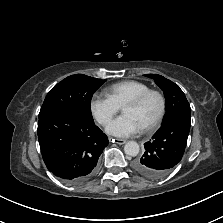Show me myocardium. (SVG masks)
Here are the masks:
<instances>
[{
    "label": "myocardium",
    "mask_w": 223,
    "mask_h": 223,
    "mask_svg": "<svg viewBox=\"0 0 223 223\" xmlns=\"http://www.w3.org/2000/svg\"><path fill=\"white\" fill-rule=\"evenodd\" d=\"M151 95H157L159 97V99L161 101V108H160V111H159L157 117L150 124L141 128V131H143V132L153 131L163 121L165 114H166V110H167V99H166V96L164 95V93L157 89H149V90L139 94L135 98L131 99L130 101H128L124 106V107L139 106Z\"/></svg>",
    "instance_id": "obj_1"
}]
</instances>
